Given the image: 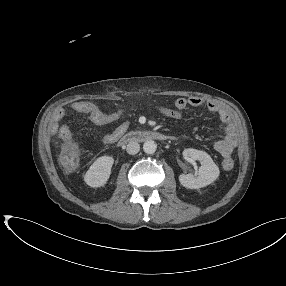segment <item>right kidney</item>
<instances>
[{"label":"right kidney","instance_id":"1","mask_svg":"<svg viewBox=\"0 0 286 286\" xmlns=\"http://www.w3.org/2000/svg\"><path fill=\"white\" fill-rule=\"evenodd\" d=\"M114 159L111 156L97 158L84 175V181L93 188L104 186L111 174Z\"/></svg>","mask_w":286,"mask_h":286}]
</instances>
